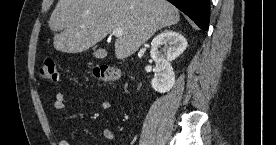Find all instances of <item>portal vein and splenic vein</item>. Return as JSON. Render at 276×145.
<instances>
[{"label":"portal vein and splenic vein","mask_w":276,"mask_h":145,"mask_svg":"<svg viewBox=\"0 0 276 145\" xmlns=\"http://www.w3.org/2000/svg\"><path fill=\"white\" fill-rule=\"evenodd\" d=\"M112 34L116 37H120L123 34V30L121 28H115L113 29Z\"/></svg>","instance_id":"1"}]
</instances>
